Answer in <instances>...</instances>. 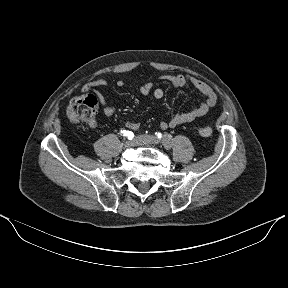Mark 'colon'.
Here are the masks:
<instances>
[{
    "label": "colon",
    "instance_id": "1",
    "mask_svg": "<svg viewBox=\"0 0 288 288\" xmlns=\"http://www.w3.org/2000/svg\"><path fill=\"white\" fill-rule=\"evenodd\" d=\"M98 101L94 95L87 94L73 98L69 103L66 114L68 119L73 122H85L87 124L95 121ZM213 129L210 126L198 128V135L204 138L210 137Z\"/></svg>",
    "mask_w": 288,
    "mask_h": 288
}]
</instances>
